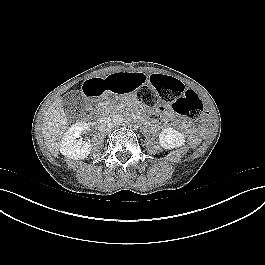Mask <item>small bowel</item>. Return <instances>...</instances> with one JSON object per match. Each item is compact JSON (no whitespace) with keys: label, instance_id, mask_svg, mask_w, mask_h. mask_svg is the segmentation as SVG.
<instances>
[{"label":"small bowel","instance_id":"obj_1","mask_svg":"<svg viewBox=\"0 0 265 265\" xmlns=\"http://www.w3.org/2000/svg\"><path fill=\"white\" fill-rule=\"evenodd\" d=\"M145 81V72L135 70L129 74L118 73L105 78L89 79L84 82L83 91L87 95L103 94L106 90L110 92L128 93L133 87H138L144 84ZM158 117H161L163 121H167L171 117V112L168 108H162L159 111V115L157 114Z\"/></svg>","mask_w":265,"mask_h":265}]
</instances>
